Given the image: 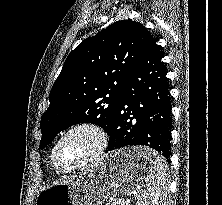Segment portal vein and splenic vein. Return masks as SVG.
Returning <instances> with one entry per match:
<instances>
[{
    "label": "portal vein and splenic vein",
    "mask_w": 222,
    "mask_h": 205,
    "mask_svg": "<svg viewBox=\"0 0 222 205\" xmlns=\"http://www.w3.org/2000/svg\"><path fill=\"white\" fill-rule=\"evenodd\" d=\"M138 194V192L137 191H132L129 195L131 196V195H134V196H136ZM122 201H124V199H121ZM126 202H127V200H126Z\"/></svg>",
    "instance_id": "1"
}]
</instances>
